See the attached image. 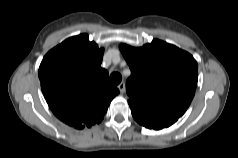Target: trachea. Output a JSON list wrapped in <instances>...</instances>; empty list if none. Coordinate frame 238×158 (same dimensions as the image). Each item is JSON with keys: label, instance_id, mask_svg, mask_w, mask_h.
<instances>
[{"label": "trachea", "instance_id": "1", "mask_svg": "<svg viewBox=\"0 0 238 158\" xmlns=\"http://www.w3.org/2000/svg\"><path fill=\"white\" fill-rule=\"evenodd\" d=\"M110 80L111 82L114 84V85H118L121 80H122V76L120 73L118 72H113L111 75H110Z\"/></svg>", "mask_w": 238, "mask_h": 158}]
</instances>
